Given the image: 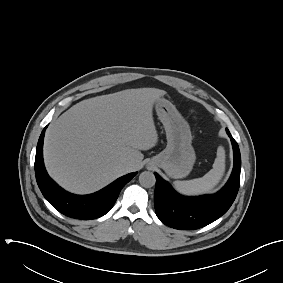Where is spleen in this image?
I'll return each mask as SVG.
<instances>
[{
  "label": "spleen",
  "instance_id": "1",
  "mask_svg": "<svg viewBox=\"0 0 283 283\" xmlns=\"http://www.w3.org/2000/svg\"><path fill=\"white\" fill-rule=\"evenodd\" d=\"M225 172V150L217 149V157L213 168L201 178L186 181H175L174 188L183 195H199L209 193L220 182Z\"/></svg>",
  "mask_w": 283,
  "mask_h": 283
}]
</instances>
